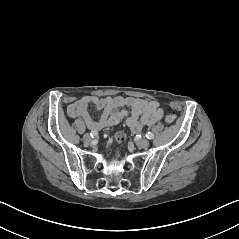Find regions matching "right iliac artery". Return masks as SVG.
Masks as SVG:
<instances>
[{"label":"right iliac artery","mask_w":239,"mask_h":239,"mask_svg":"<svg viewBox=\"0 0 239 239\" xmlns=\"http://www.w3.org/2000/svg\"><path fill=\"white\" fill-rule=\"evenodd\" d=\"M97 134H98V132H97L96 130H93V131H91V133H90V135H91L92 138H93V137H96Z\"/></svg>","instance_id":"82829eb1"}]
</instances>
